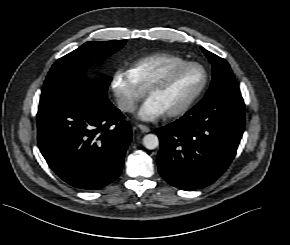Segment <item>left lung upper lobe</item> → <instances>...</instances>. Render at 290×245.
<instances>
[{
  "label": "left lung upper lobe",
  "instance_id": "left-lung-upper-lobe-1",
  "mask_svg": "<svg viewBox=\"0 0 290 245\" xmlns=\"http://www.w3.org/2000/svg\"><path fill=\"white\" fill-rule=\"evenodd\" d=\"M201 49L212 64V82L202 101L211 100L222 95H241L228 62L203 47Z\"/></svg>",
  "mask_w": 290,
  "mask_h": 245
}]
</instances>
